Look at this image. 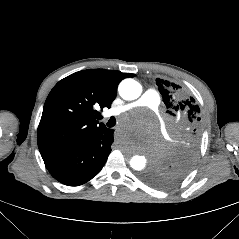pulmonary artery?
<instances>
[{"instance_id":"pulmonary-artery-1","label":"pulmonary artery","mask_w":239,"mask_h":239,"mask_svg":"<svg viewBox=\"0 0 239 239\" xmlns=\"http://www.w3.org/2000/svg\"><path fill=\"white\" fill-rule=\"evenodd\" d=\"M160 104L159 93L154 89L146 90L143 95L135 102L129 103L127 105L113 108L108 111V116H117L127 111H130L139 107H146L151 110H157Z\"/></svg>"}]
</instances>
